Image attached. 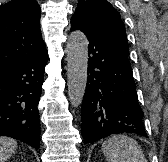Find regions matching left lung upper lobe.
<instances>
[{"instance_id":"5c2ea615","label":"left lung upper lobe","mask_w":168,"mask_h":162,"mask_svg":"<svg viewBox=\"0 0 168 162\" xmlns=\"http://www.w3.org/2000/svg\"><path fill=\"white\" fill-rule=\"evenodd\" d=\"M71 24L84 25L92 33L129 53L124 23L107 0H79Z\"/></svg>"}]
</instances>
